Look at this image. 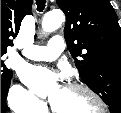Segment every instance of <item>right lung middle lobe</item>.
<instances>
[{"instance_id": "right-lung-middle-lobe-1", "label": "right lung middle lobe", "mask_w": 121, "mask_h": 113, "mask_svg": "<svg viewBox=\"0 0 121 113\" xmlns=\"http://www.w3.org/2000/svg\"><path fill=\"white\" fill-rule=\"evenodd\" d=\"M6 52H1V57ZM12 78V72L6 67L4 61L1 59V87H8Z\"/></svg>"}]
</instances>
